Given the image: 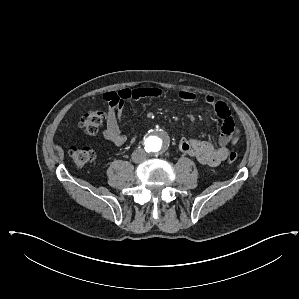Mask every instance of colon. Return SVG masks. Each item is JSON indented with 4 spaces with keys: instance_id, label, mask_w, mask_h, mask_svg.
Here are the masks:
<instances>
[{
    "instance_id": "5ec220e1",
    "label": "colon",
    "mask_w": 299,
    "mask_h": 299,
    "mask_svg": "<svg viewBox=\"0 0 299 299\" xmlns=\"http://www.w3.org/2000/svg\"><path fill=\"white\" fill-rule=\"evenodd\" d=\"M103 114L99 111H91L85 114L80 120V127L89 135H96L99 131ZM70 156L75 166L82 167L95 158V152L90 146H72ZM237 159V154L231 152L228 155V162L233 163Z\"/></svg>"
}]
</instances>
